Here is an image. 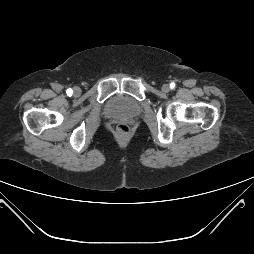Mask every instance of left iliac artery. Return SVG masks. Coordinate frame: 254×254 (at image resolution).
<instances>
[{
	"mask_svg": "<svg viewBox=\"0 0 254 254\" xmlns=\"http://www.w3.org/2000/svg\"><path fill=\"white\" fill-rule=\"evenodd\" d=\"M174 87H175V83H171V84H170V88H171V89H174Z\"/></svg>",
	"mask_w": 254,
	"mask_h": 254,
	"instance_id": "1",
	"label": "left iliac artery"
}]
</instances>
